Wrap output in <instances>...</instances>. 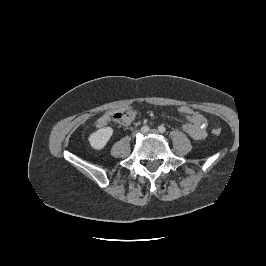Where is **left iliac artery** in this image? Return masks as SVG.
I'll return each mask as SVG.
<instances>
[{
    "label": "left iliac artery",
    "mask_w": 266,
    "mask_h": 266,
    "mask_svg": "<svg viewBox=\"0 0 266 266\" xmlns=\"http://www.w3.org/2000/svg\"><path fill=\"white\" fill-rule=\"evenodd\" d=\"M158 130L161 132V133H165L166 132V128L164 126H159L158 127Z\"/></svg>",
    "instance_id": "left-iliac-artery-1"
}]
</instances>
